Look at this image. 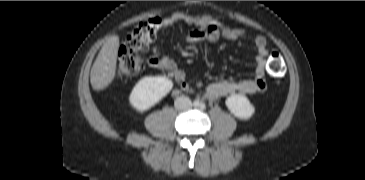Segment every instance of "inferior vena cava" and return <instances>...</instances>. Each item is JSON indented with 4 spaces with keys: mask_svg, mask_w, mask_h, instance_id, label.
<instances>
[{
    "mask_svg": "<svg viewBox=\"0 0 365 180\" xmlns=\"http://www.w3.org/2000/svg\"><path fill=\"white\" fill-rule=\"evenodd\" d=\"M175 108L178 110L189 109L192 106L191 100L188 97L181 96L175 100Z\"/></svg>",
    "mask_w": 365,
    "mask_h": 180,
    "instance_id": "602c4592",
    "label": "inferior vena cava"
}]
</instances>
